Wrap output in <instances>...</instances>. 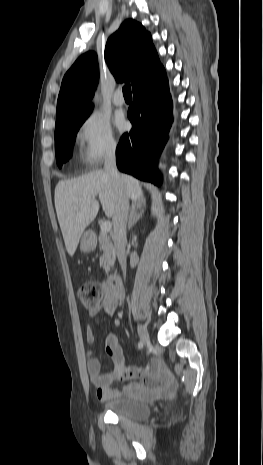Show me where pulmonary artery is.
I'll return each mask as SVG.
<instances>
[{"mask_svg":"<svg viewBox=\"0 0 263 465\" xmlns=\"http://www.w3.org/2000/svg\"><path fill=\"white\" fill-rule=\"evenodd\" d=\"M112 101H113V104L116 105V106H122V105H124V102H125V101H124V97H123V95H122V93H121L120 90H117V91L115 92Z\"/></svg>","mask_w":263,"mask_h":465,"instance_id":"1","label":"pulmonary artery"}]
</instances>
